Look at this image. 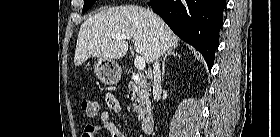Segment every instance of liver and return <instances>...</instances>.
I'll return each mask as SVG.
<instances>
[{
    "mask_svg": "<svg viewBox=\"0 0 280 137\" xmlns=\"http://www.w3.org/2000/svg\"><path fill=\"white\" fill-rule=\"evenodd\" d=\"M114 35L133 37L135 51L147 64L177 47L179 42L166 23L149 9L132 5L112 7L90 16L81 25L74 55L75 66L90 57L108 60L124 57L128 42L110 39Z\"/></svg>",
    "mask_w": 280,
    "mask_h": 137,
    "instance_id": "1",
    "label": "liver"
}]
</instances>
